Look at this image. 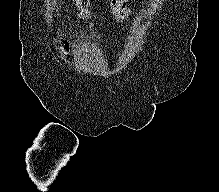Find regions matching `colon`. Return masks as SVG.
<instances>
[{
    "mask_svg": "<svg viewBox=\"0 0 219 192\" xmlns=\"http://www.w3.org/2000/svg\"><path fill=\"white\" fill-rule=\"evenodd\" d=\"M76 5L81 8H86L89 4V0H75Z\"/></svg>",
    "mask_w": 219,
    "mask_h": 192,
    "instance_id": "obj_1",
    "label": "colon"
}]
</instances>
